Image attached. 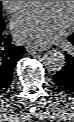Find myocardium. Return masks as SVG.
<instances>
[{"label": "myocardium", "instance_id": "obj_1", "mask_svg": "<svg viewBox=\"0 0 74 122\" xmlns=\"http://www.w3.org/2000/svg\"><path fill=\"white\" fill-rule=\"evenodd\" d=\"M71 20L74 21V1H71Z\"/></svg>", "mask_w": 74, "mask_h": 122}]
</instances>
